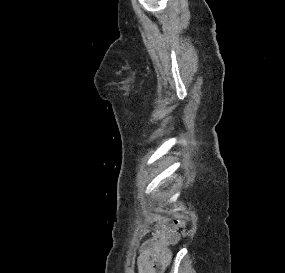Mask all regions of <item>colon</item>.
<instances>
[{
    "label": "colon",
    "mask_w": 285,
    "mask_h": 273,
    "mask_svg": "<svg viewBox=\"0 0 285 273\" xmlns=\"http://www.w3.org/2000/svg\"><path fill=\"white\" fill-rule=\"evenodd\" d=\"M175 229L185 230L187 225V220L183 215H176L172 221Z\"/></svg>",
    "instance_id": "1"
}]
</instances>
